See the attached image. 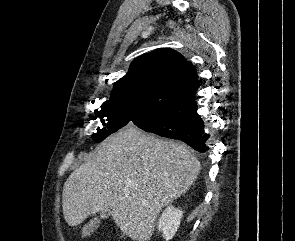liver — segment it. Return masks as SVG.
Wrapping results in <instances>:
<instances>
[{
  "instance_id": "1",
  "label": "liver",
  "mask_w": 295,
  "mask_h": 241,
  "mask_svg": "<svg viewBox=\"0 0 295 241\" xmlns=\"http://www.w3.org/2000/svg\"><path fill=\"white\" fill-rule=\"evenodd\" d=\"M200 172L189 148L133 127L101 143L66 180L63 215L70 226L104 210L133 240H150L164 206L185 194Z\"/></svg>"
}]
</instances>
